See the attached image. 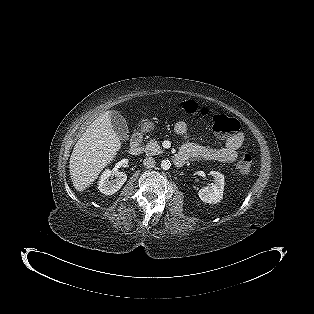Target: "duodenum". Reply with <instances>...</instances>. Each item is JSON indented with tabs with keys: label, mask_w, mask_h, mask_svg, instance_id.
I'll return each instance as SVG.
<instances>
[{
	"label": "duodenum",
	"mask_w": 314,
	"mask_h": 314,
	"mask_svg": "<svg viewBox=\"0 0 314 314\" xmlns=\"http://www.w3.org/2000/svg\"><path fill=\"white\" fill-rule=\"evenodd\" d=\"M144 143V136L141 132L135 133L132 137L131 146L129 152L131 155H139L142 152ZM174 162L177 166H183L186 162L185 158L182 155H177L174 159Z\"/></svg>",
	"instance_id": "duodenum-1"
}]
</instances>
